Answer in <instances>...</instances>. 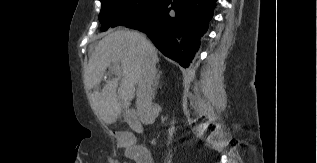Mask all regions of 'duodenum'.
Here are the masks:
<instances>
[{
	"label": "duodenum",
	"instance_id": "duodenum-1",
	"mask_svg": "<svg viewBox=\"0 0 317 163\" xmlns=\"http://www.w3.org/2000/svg\"><path fill=\"white\" fill-rule=\"evenodd\" d=\"M123 117L133 132L139 133L143 130L140 116L135 110H132V109L126 110L123 114ZM125 138L132 145V148L137 156L142 157V156H145L149 153V151L146 147L141 146V145H137V144H133L131 142L130 138H128V137H125Z\"/></svg>",
	"mask_w": 317,
	"mask_h": 163
}]
</instances>
